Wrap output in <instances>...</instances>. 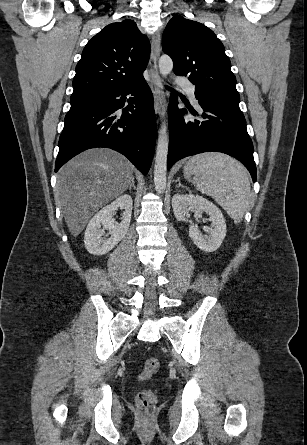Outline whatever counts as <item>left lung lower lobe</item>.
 Wrapping results in <instances>:
<instances>
[{"instance_id": "0a47b994", "label": "left lung lower lobe", "mask_w": 307, "mask_h": 445, "mask_svg": "<svg viewBox=\"0 0 307 445\" xmlns=\"http://www.w3.org/2000/svg\"><path fill=\"white\" fill-rule=\"evenodd\" d=\"M177 96L172 95L168 108L169 150L167 168L178 160L202 152L216 151L235 157L256 181L253 144L246 130V121L239 107L198 100L205 121L189 120L185 110L177 108ZM190 110V109H189ZM193 115H198L190 110Z\"/></svg>"}]
</instances>
